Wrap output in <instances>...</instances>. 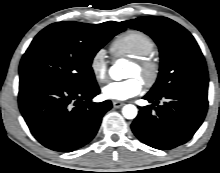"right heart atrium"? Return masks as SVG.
<instances>
[{
    "label": "right heart atrium",
    "mask_w": 220,
    "mask_h": 173,
    "mask_svg": "<svg viewBox=\"0 0 220 173\" xmlns=\"http://www.w3.org/2000/svg\"><path fill=\"white\" fill-rule=\"evenodd\" d=\"M90 70L94 78L103 83L108 79V61L103 49H98L90 59Z\"/></svg>",
    "instance_id": "1"
}]
</instances>
